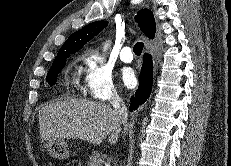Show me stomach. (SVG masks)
I'll list each match as a JSON object with an SVG mask.
<instances>
[{
  "instance_id": "obj_1",
  "label": "stomach",
  "mask_w": 231,
  "mask_h": 166,
  "mask_svg": "<svg viewBox=\"0 0 231 166\" xmlns=\"http://www.w3.org/2000/svg\"><path fill=\"white\" fill-rule=\"evenodd\" d=\"M49 154L59 160L67 159L71 155L70 148L64 139H52L46 143Z\"/></svg>"
}]
</instances>
